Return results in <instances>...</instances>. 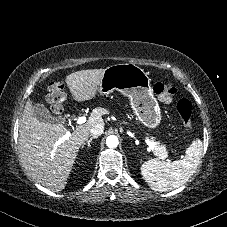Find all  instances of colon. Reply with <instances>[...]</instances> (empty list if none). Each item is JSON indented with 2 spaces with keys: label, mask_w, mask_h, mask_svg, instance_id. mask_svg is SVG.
<instances>
[{
  "label": "colon",
  "mask_w": 227,
  "mask_h": 227,
  "mask_svg": "<svg viewBox=\"0 0 227 227\" xmlns=\"http://www.w3.org/2000/svg\"><path fill=\"white\" fill-rule=\"evenodd\" d=\"M155 95L164 103H172L175 101L177 96V89L171 83L158 82L153 86ZM47 100L50 104L51 109L59 113L63 108L65 100L64 87L60 83H52L48 86ZM177 113L179 115L182 126L186 130L192 128V105L191 103L183 99L177 104Z\"/></svg>",
  "instance_id": "obj_1"
}]
</instances>
